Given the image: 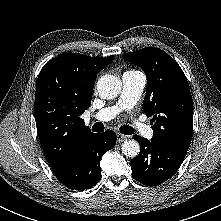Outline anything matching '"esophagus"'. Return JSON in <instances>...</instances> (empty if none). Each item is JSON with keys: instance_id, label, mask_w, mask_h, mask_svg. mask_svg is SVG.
Here are the masks:
<instances>
[{"instance_id": "obj_1", "label": "esophagus", "mask_w": 221, "mask_h": 221, "mask_svg": "<svg viewBox=\"0 0 221 221\" xmlns=\"http://www.w3.org/2000/svg\"><path fill=\"white\" fill-rule=\"evenodd\" d=\"M127 139V137L123 134L117 133V142H123Z\"/></svg>"}]
</instances>
